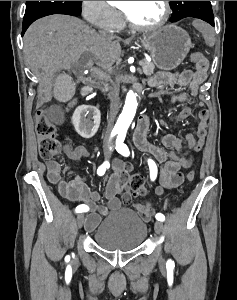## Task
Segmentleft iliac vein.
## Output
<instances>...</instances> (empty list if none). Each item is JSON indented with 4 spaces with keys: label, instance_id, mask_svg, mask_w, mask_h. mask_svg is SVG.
I'll use <instances>...</instances> for the list:
<instances>
[{
    "label": "left iliac vein",
    "instance_id": "4c4485c4",
    "mask_svg": "<svg viewBox=\"0 0 237 300\" xmlns=\"http://www.w3.org/2000/svg\"><path fill=\"white\" fill-rule=\"evenodd\" d=\"M154 229L157 233H162L164 230V225L162 222H155Z\"/></svg>",
    "mask_w": 237,
    "mask_h": 300
}]
</instances>
